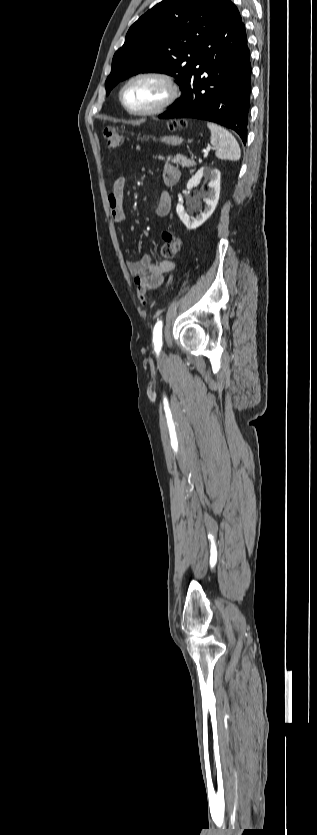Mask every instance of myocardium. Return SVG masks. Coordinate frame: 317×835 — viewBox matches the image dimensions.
I'll use <instances>...</instances> for the list:
<instances>
[{
    "instance_id": "obj_1",
    "label": "myocardium",
    "mask_w": 317,
    "mask_h": 835,
    "mask_svg": "<svg viewBox=\"0 0 317 835\" xmlns=\"http://www.w3.org/2000/svg\"><path fill=\"white\" fill-rule=\"evenodd\" d=\"M140 79H153L159 82L163 88L165 89V96L159 101L154 107L147 109V110H134L130 108L124 101V91L126 88L132 84L133 82L140 80ZM180 95V89L173 77L170 75L159 72V71H143L136 73L129 77L120 87L119 90V101L122 107L131 115L134 116H141V117H149L155 116L158 114L163 113L167 110L171 105L175 103Z\"/></svg>"
}]
</instances>
